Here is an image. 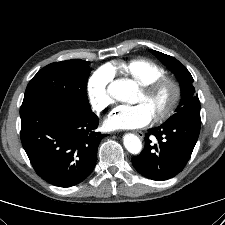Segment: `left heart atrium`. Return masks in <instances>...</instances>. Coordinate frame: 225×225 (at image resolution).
Listing matches in <instances>:
<instances>
[{"label":"left heart atrium","mask_w":225,"mask_h":225,"mask_svg":"<svg viewBox=\"0 0 225 225\" xmlns=\"http://www.w3.org/2000/svg\"><path fill=\"white\" fill-rule=\"evenodd\" d=\"M154 117L146 103L121 105L115 108L105 120L108 129H136L146 126Z\"/></svg>","instance_id":"obj_1"}]
</instances>
